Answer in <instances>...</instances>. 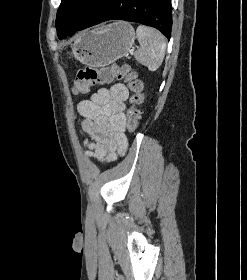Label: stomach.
<instances>
[{"label": "stomach", "instance_id": "1", "mask_svg": "<svg viewBox=\"0 0 247 280\" xmlns=\"http://www.w3.org/2000/svg\"><path fill=\"white\" fill-rule=\"evenodd\" d=\"M135 38V31L129 23L117 21L81 33L71 54L82 64L103 67L127 55Z\"/></svg>", "mask_w": 247, "mask_h": 280}]
</instances>
